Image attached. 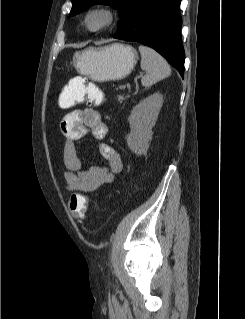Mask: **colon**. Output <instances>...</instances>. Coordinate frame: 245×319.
I'll use <instances>...</instances> for the list:
<instances>
[{"label": "colon", "mask_w": 245, "mask_h": 319, "mask_svg": "<svg viewBox=\"0 0 245 319\" xmlns=\"http://www.w3.org/2000/svg\"><path fill=\"white\" fill-rule=\"evenodd\" d=\"M103 93L99 89V87L91 81H87L83 79V83L78 90V93L75 95V99L63 105V108L71 107L79 103L87 102L90 105H99L102 102ZM69 210L79 220L85 218L88 201L86 196L82 194H72L69 202Z\"/></svg>", "instance_id": "1"}]
</instances>
